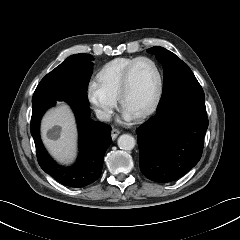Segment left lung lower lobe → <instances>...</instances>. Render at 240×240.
<instances>
[{
    "instance_id": "0a47b994",
    "label": "left lung lower lobe",
    "mask_w": 240,
    "mask_h": 240,
    "mask_svg": "<svg viewBox=\"0 0 240 240\" xmlns=\"http://www.w3.org/2000/svg\"><path fill=\"white\" fill-rule=\"evenodd\" d=\"M207 128L205 100L168 104L136 131L141 172L158 183L179 179L200 160Z\"/></svg>"
}]
</instances>
